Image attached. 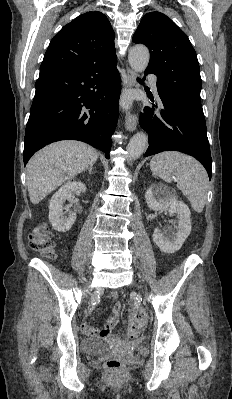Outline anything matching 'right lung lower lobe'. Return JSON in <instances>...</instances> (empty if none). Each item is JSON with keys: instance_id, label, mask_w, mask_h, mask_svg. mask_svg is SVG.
<instances>
[{"instance_id": "right-lung-lower-lobe-1", "label": "right lung lower lobe", "mask_w": 232, "mask_h": 399, "mask_svg": "<svg viewBox=\"0 0 232 399\" xmlns=\"http://www.w3.org/2000/svg\"><path fill=\"white\" fill-rule=\"evenodd\" d=\"M116 62L40 71L26 126L24 164L47 144L66 139L86 142L109 158L121 91Z\"/></svg>"}]
</instances>
